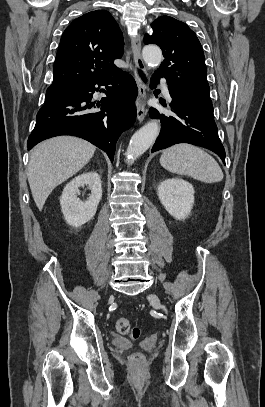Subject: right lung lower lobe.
Listing matches in <instances>:
<instances>
[{
	"label": "right lung lower lobe",
	"instance_id": "right-lung-lower-lobe-1",
	"mask_svg": "<svg viewBox=\"0 0 265 407\" xmlns=\"http://www.w3.org/2000/svg\"><path fill=\"white\" fill-rule=\"evenodd\" d=\"M95 85H111L104 91L107 97L97 103L92 101L93 93L99 91ZM136 96L135 80L121 70L89 79L70 94L45 102L37 113L27 147L31 149L54 136L73 135L105 151L113 162L119 136L135 121Z\"/></svg>",
	"mask_w": 265,
	"mask_h": 407
}]
</instances>
